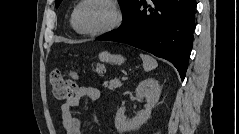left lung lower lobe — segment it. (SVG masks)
Returning <instances> with one entry per match:
<instances>
[{"instance_id":"obj_1","label":"left lung lower lobe","mask_w":239,"mask_h":134,"mask_svg":"<svg viewBox=\"0 0 239 134\" xmlns=\"http://www.w3.org/2000/svg\"><path fill=\"white\" fill-rule=\"evenodd\" d=\"M195 7L196 0H135L122 25L97 40L127 43L164 58L184 80L192 49Z\"/></svg>"}]
</instances>
